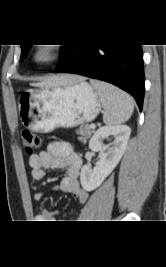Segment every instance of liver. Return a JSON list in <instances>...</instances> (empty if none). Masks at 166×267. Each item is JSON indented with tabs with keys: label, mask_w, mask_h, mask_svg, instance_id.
<instances>
[{
	"label": "liver",
	"mask_w": 166,
	"mask_h": 267,
	"mask_svg": "<svg viewBox=\"0 0 166 267\" xmlns=\"http://www.w3.org/2000/svg\"><path fill=\"white\" fill-rule=\"evenodd\" d=\"M80 81H82V78L75 75H59L50 77L34 85L39 87H53L60 85H73Z\"/></svg>",
	"instance_id": "6515ba94"
}]
</instances>
